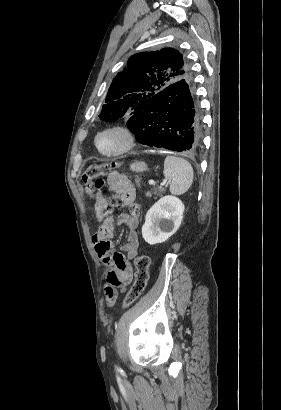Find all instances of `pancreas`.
I'll return each instance as SVG.
<instances>
[{"label":"pancreas","mask_w":281,"mask_h":410,"mask_svg":"<svg viewBox=\"0 0 281 410\" xmlns=\"http://www.w3.org/2000/svg\"><path fill=\"white\" fill-rule=\"evenodd\" d=\"M164 189L163 188H155L152 192H147L146 196L151 197L152 194L155 196H160L163 193Z\"/></svg>","instance_id":"pancreas-1"}]
</instances>
